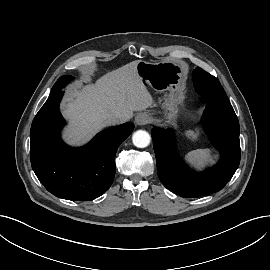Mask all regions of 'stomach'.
<instances>
[{"mask_svg": "<svg viewBox=\"0 0 270 270\" xmlns=\"http://www.w3.org/2000/svg\"><path fill=\"white\" fill-rule=\"evenodd\" d=\"M136 70L143 83L161 94L162 119L175 127L187 74L186 64L172 60L157 63L140 60Z\"/></svg>", "mask_w": 270, "mask_h": 270, "instance_id": "stomach-1", "label": "stomach"}]
</instances>
